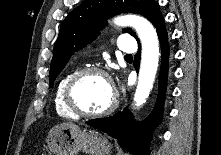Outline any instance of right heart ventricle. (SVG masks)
Wrapping results in <instances>:
<instances>
[{
	"instance_id": "right-heart-ventricle-1",
	"label": "right heart ventricle",
	"mask_w": 221,
	"mask_h": 155,
	"mask_svg": "<svg viewBox=\"0 0 221 155\" xmlns=\"http://www.w3.org/2000/svg\"><path fill=\"white\" fill-rule=\"evenodd\" d=\"M75 72H76L75 70L68 71L66 74H64L61 77V79L59 80L56 86L55 94H54V105H55V110L57 114L62 117L71 118V119H75L78 116L75 115L66 107L64 100H63V92H64V88H65L67 81Z\"/></svg>"
}]
</instances>
